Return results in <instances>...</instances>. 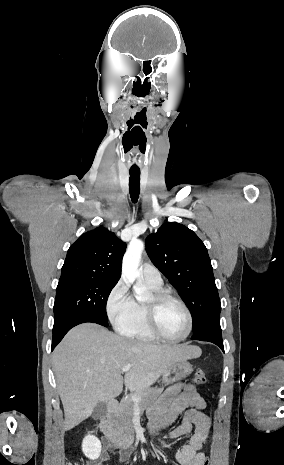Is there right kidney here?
Here are the masks:
<instances>
[{
  "label": "right kidney",
  "instance_id": "right-kidney-1",
  "mask_svg": "<svg viewBox=\"0 0 284 465\" xmlns=\"http://www.w3.org/2000/svg\"><path fill=\"white\" fill-rule=\"evenodd\" d=\"M101 443L94 435H88L83 439L82 451L88 459H98L101 453Z\"/></svg>",
  "mask_w": 284,
  "mask_h": 465
}]
</instances>
